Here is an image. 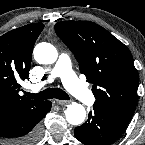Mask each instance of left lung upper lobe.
I'll return each instance as SVG.
<instances>
[{"label":"left lung upper lobe","mask_w":145,"mask_h":145,"mask_svg":"<svg viewBox=\"0 0 145 145\" xmlns=\"http://www.w3.org/2000/svg\"><path fill=\"white\" fill-rule=\"evenodd\" d=\"M55 31L76 57L81 73L94 84V109L128 123L135 109L139 80L129 49L89 21L58 22Z\"/></svg>","instance_id":"5c2ea615"}]
</instances>
